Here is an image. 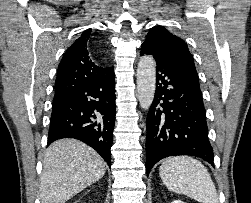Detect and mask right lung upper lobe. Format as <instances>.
<instances>
[{
    "label": "right lung upper lobe",
    "instance_id": "cb5924a9",
    "mask_svg": "<svg viewBox=\"0 0 251 203\" xmlns=\"http://www.w3.org/2000/svg\"><path fill=\"white\" fill-rule=\"evenodd\" d=\"M90 36L91 29L84 31L65 52L58 66L53 100L60 99L86 82L98 79L110 72L111 68L95 65L89 56Z\"/></svg>",
    "mask_w": 251,
    "mask_h": 203
}]
</instances>
